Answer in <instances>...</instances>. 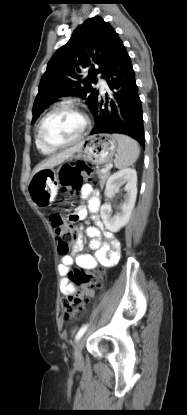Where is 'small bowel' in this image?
<instances>
[{
  "label": "small bowel",
  "mask_w": 187,
  "mask_h": 415,
  "mask_svg": "<svg viewBox=\"0 0 187 415\" xmlns=\"http://www.w3.org/2000/svg\"><path fill=\"white\" fill-rule=\"evenodd\" d=\"M80 197L88 200V209L78 206L74 212L75 220L84 219L87 210L90 211L94 226L86 228L85 234L90 238L89 247L94 255L83 254L85 236L81 229L77 230V237L71 252L61 257L59 273L62 277L60 290L62 295L71 296L75 293V286L70 281V267L77 263L83 269L93 270L98 264L112 266L116 264L120 256V241L109 231L103 229L100 217V194L91 185L85 184L80 189Z\"/></svg>",
  "instance_id": "1"
}]
</instances>
